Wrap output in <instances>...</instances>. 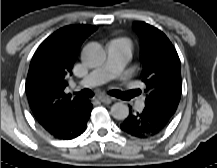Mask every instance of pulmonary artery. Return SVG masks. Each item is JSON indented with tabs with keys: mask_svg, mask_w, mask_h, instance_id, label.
Returning <instances> with one entry per match:
<instances>
[{
	"mask_svg": "<svg viewBox=\"0 0 217 168\" xmlns=\"http://www.w3.org/2000/svg\"><path fill=\"white\" fill-rule=\"evenodd\" d=\"M107 50L106 63L85 76L81 82L83 85L92 87L109 80H121L125 66L131 58L130 47L123 40H114L108 45ZM128 89L129 87L124 86V90ZM144 105V98H141L137 102V107L142 109Z\"/></svg>",
	"mask_w": 217,
	"mask_h": 168,
	"instance_id": "e3ab8cb5",
	"label": "pulmonary artery"
}]
</instances>
